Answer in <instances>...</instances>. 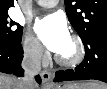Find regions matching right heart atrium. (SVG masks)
Instances as JSON below:
<instances>
[{
  "mask_svg": "<svg viewBox=\"0 0 107 89\" xmlns=\"http://www.w3.org/2000/svg\"><path fill=\"white\" fill-rule=\"evenodd\" d=\"M25 58L32 63H40L44 58V50L40 42L30 33L26 32L22 41Z\"/></svg>",
  "mask_w": 107,
  "mask_h": 89,
  "instance_id": "d8ad5b80",
  "label": "right heart atrium"
}]
</instances>
